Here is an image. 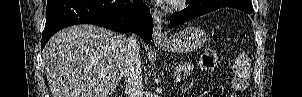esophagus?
Returning <instances> with one entry per match:
<instances>
[{"label":"esophagus","instance_id":"esophagus-1","mask_svg":"<svg viewBox=\"0 0 302 97\" xmlns=\"http://www.w3.org/2000/svg\"><path fill=\"white\" fill-rule=\"evenodd\" d=\"M154 18V31H153V42L160 43L166 40V36L162 31L163 27V15L159 11H155L153 14Z\"/></svg>","mask_w":302,"mask_h":97}]
</instances>
